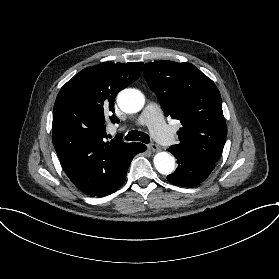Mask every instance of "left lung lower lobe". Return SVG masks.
Listing matches in <instances>:
<instances>
[{
  "label": "left lung lower lobe",
  "instance_id": "left-lung-lower-lobe-1",
  "mask_svg": "<svg viewBox=\"0 0 279 279\" xmlns=\"http://www.w3.org/2000/svg\"><path fill=\"white\" fill-rule=\"evenodd\" d=\"M178 160L176 171L167 177L177 186L194 187L204 181L213 170L215 163L183 154L177 149H168Z\"/></svg>",
  "mask_w": 279,
  "mask_h": 279
}]
</instances>
